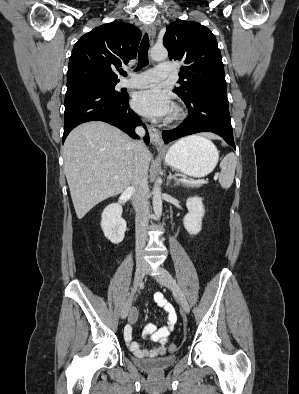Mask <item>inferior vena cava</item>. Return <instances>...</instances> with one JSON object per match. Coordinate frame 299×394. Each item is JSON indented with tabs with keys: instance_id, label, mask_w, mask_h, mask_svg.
Returning a JSON list of instances; mask_svg holds the SVG:
<instances>
[{
	"instance_id": "602c4592",
	"label": "inferior vena cava",
	"mask_w": 299,
	"mask_h": 394,
	"mask_svg": "<svg viewBox=\"0 0 299 394\" xmlns=\"http://www.w3.org/2000/svg\"><path fill=\"white\" fill-rule=\"evenodd\" d=\"M136 133L144 136L145 130L142 127L136 128ZM134 172L132 180V201L135 209L136 228V262L145 264L143 259V249L147 241V227L150 218L148 202V164L145 160L144 152L146 146L143 141H135Z\"/></svg>"
}]
</instances>
